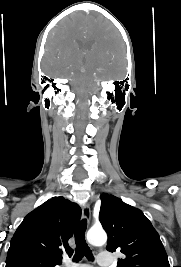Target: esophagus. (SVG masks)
<instances>
[{
	"label": "esophagus",
	"mask_w": 181,
	"mask_h": 267,
	"mask_svg": "<svg viewBox=\"0 0 181 267\" xmlns=\"http://www.w3.org/2000/svg\"><path fill=\"white\" fill-rule=\"evenodd\" d=\"M82 216L83 218L89 222L91 219V210H90V206L88 204H84L82 207Z\"/></svg>",
	"instance_id": "34e87169"
}]
</instances>
